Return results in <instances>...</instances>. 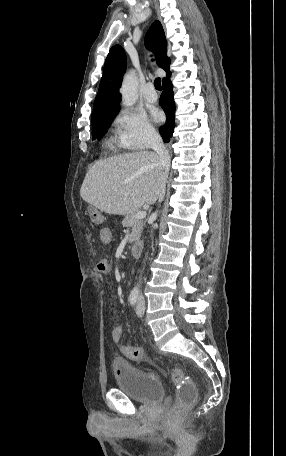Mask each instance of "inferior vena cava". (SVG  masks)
<instances>
[{"mask_svg": "<svg viewBox=\"0 0 286 456\" xmlns=\"http://www.w3.org/2000/svg\"><path fill=\"white\" fill-rule=\"evenodd\" d=\"M150 145L151 148L159 155L160 158V164L165 170V178L163 179L160 188H159V202H162L165 196V183H166V177H167V171H168V155L167 151L165 149V146L163 144V141L161 137L157 133H152L150 135Z\"/></svg>", "mask_w": 286, "mask_h": 456, "instance_id": "inferior-vena-cava-1", "label": "inferior vena cava"}]
</instances>
